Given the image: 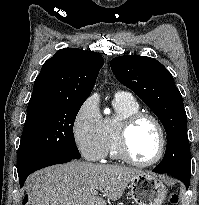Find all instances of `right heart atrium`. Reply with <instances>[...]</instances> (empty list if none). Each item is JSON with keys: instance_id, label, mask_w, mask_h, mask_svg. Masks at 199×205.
<instances>
[{"instance_id": "1", "label": "right heart atrium", "mask_w": 199, "mask_h": 205, "mask_svg": "<svg viewBox=\"0 0 199 205\" xmlns=\"http://www.w3.org/2000/svg\"><path fill=\"white\" fill-rule=\"evenodd\" d=\"M78 151L89 161H100L105 156L103 119L95 96L88 97L79 107L72 126Z\"/></svg>"}]
</instances>
